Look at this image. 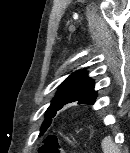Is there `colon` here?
Returning a JSON list of instances; mask_svg holds the SVG:
<instances>
[{
  "instance_id": "obj_1",
  "label": "colon",
  "mask_w": 130,
  "mask_h": 153,
  "mask_svg": "<svg viewBox=\"0 0 130 153\" xmlns=\"http://www.w3.org/2000/svg\"><path fill=\"white\" fill-rule=\"evenodd\" d=\"M59 149L54 139L49 138L40 148V153H56Z\"/></svg>"
}]
</instances>
